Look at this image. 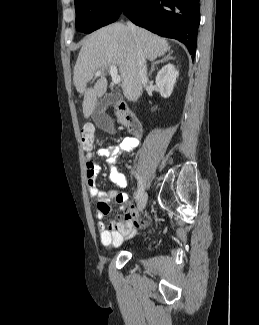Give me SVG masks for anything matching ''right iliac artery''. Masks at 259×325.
<instances>
[{"label":"right iliac artery","mask_w":259,"mask_h":325,"mask_svg":"<svg viewBox=\"0 0 259 325\" xmlns=\"http://www.w3.org/2000/svg\"><path fill=\"white\" fill-rule=\"evenodd\" d=\"M134 178H135V180H136V181H135V182H136V183H135V186L137 187V189H136V190H137V191H136V192H137V194H136V199H139L140 194H142V192H143V191H142V190H143V189H142L143 186H142V183H141L142 180H141L140 175H138V174L135 175Z\"/></svg>","instance_id":"1"}]
</instances>
